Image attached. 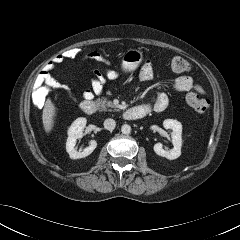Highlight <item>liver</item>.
<instances>
[{
	"mask_svg": "<svg viewBox=\"0 0 240 240\" xmlns=\"http://www.w3.org/2000/svg\"><path fill=\"white\" fill-rule=\"evenodd\" d=\"M55 116L56 107L51 101V99L48 98L45 102L42 114L43 127L47 134L50 133L51 130L53 129Z\"/></svg>",
	"mask_w": 240,
	"mask_h": 240,
	"instance_id": "obj_1",
	"label": "liver"
}]
</instances>
